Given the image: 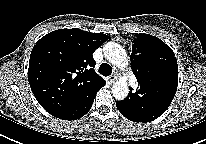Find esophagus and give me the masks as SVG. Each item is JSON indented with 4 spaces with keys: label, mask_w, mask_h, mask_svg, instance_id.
<instances>
[{
    "label": "esophagus",
    "mask_w": 206,
    "mask_h": 144,
    "mask_svg": "<svg viewBox=\"0 0 206 144\" xmlns=\"http://www.w3.org/2000/svg\"><path fill=\"white\" fill-rule=\"evenodd\" d=\"M116 80H117V76H116L115 74L109 76V81H110L111 83H114Z\"/></svg>",
    "instance_id": "1"
}]
</instances>
